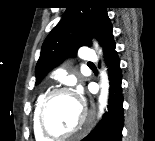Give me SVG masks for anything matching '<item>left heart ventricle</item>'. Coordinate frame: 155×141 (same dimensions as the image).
Instances as JSON below:
<instances>
[{
  "label": "left heart ventricle",
  "instance_id": "left-heart-ventricle-1",
  "mask_svg": "<svg viewBox=\"0 0 155 141\" xmlns=\"http://www.w3.org/2000/svg\"><path fill=\"white\" fill-rule=\"evenodd\" d=\"M82 106L71 94L54 96L46 112V124L55 133H65L77 127L82 120Z\"/></svg>",
  "mask_w": 155,
  "mask_h": 141
}]
</instances>
